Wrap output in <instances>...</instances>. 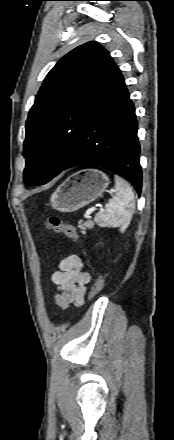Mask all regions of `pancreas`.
Segmentation results:
<instances>
[{
	"label": "pancreas",
	"mask_w": 174,
	"mask_h": 440,
	"mask_svg": "<svg viewBox=\"0 0 174 440\" xmlns=\"http://www.w3.org/2000/svg\"><path fill=\"white\" fill-rule=\"evenodd\" d=\"M78 227L80 228L81 233L85 234L86 233L85 232L86 228L92 229L94 227V222L91 221V220H88L86 222L79 221L78 222Z\"/></svg>",
	"instance_id": "cf45deb5"
}]
</instances>
